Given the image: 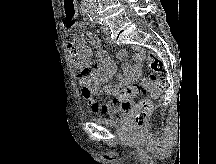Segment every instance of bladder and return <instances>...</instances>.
Returning <instances> with one entry per match:
<instances>
[{"label": "bladder", "mask_w": 216, "mask_h": 164, "mask_svg": "<svg viewBox=\"0 0 216 164\" xmlns=\"http://www.w3.org/2000/svg\"><path fill=\"white\" fill-rule=\"evenodd\" d=\"M126 113H127L126 110H120L119 115L114 118L108 119V118L94 117L93 120L102 125H106L110 127H120L125 123Z\"/></svg>", "instance_id": "obj_1"}]
</instances>
